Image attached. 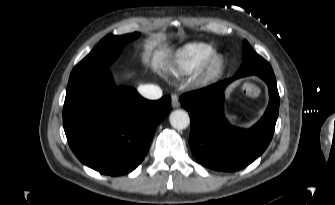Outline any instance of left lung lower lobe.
<instances>
[{"mask_svg":"<svg viewBox=\"0 0 335 205\" xmlns=\"http://www.w3.org/2000/svg\"><path fill=\"white\" fill-rule=\"evenodd\" d=\"M269 90L263 117L250 129L230 125L223 113V90L235 75L209 87L180 97L191 118L189 144L195 158L205 167L223 172L238 171L257 159L269 145L279 112V93L274 76L258 75Z\"/></svg>","mask_w":335,"mask_h":205,"instance_id":"0a47b994","label":"left lung lower lobe"}]
</instances>
